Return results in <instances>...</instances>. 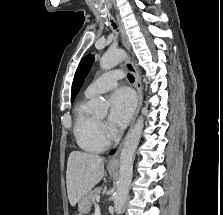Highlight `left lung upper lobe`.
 I'll return each mask as SVG.
<instances>
[{
  "mask_svg": "<svg viewBox=\"0 0 223 215\" xmlns=\"http://www.w3.org/2000/svg\"><path fill=\"white\" fill-rule=\"evenodd\" d=\"M92 62H93V56L88 55L84 57L79 63V66L74 76L73 85H72V100H74L79 89L83 85L84 79L90 70Z\"/></svg>",
  "mask_w": 223,
  "mask_h": 215,
  "instance_id": "5c2ea615",
  "label": "left lung upper lobe"
}]
</instances>
